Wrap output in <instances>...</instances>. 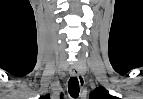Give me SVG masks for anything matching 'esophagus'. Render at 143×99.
<instances>
[{
  "label": "esophagus",
  "instance_id": "obj_1",
  "mask_svg": "<svg viewBox=\"0 0 143 99\" xmlns=\"http://www.w3.org/2000/svg\"><path fill=\"white\" fill-rule=\"evenodd\" d=\"M71 74H72V76L77 77L80 87H81V89H83L85 86V79H84L83 74L79 71L77 66L72 67Z\"/></svg>",
  "mask_w": 143,
  "mask_h": 99
}]
</instances>
